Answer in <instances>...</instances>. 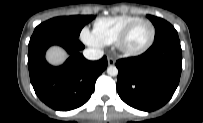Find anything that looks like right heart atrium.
Listing matches in <instances>:
<instances>
[{"instance_id": "obj_1", "label": "right heart atrium", "mask_w": 203, "mask_h": 123, "mask_svg": "<svg viewBox=\"0 0 203 123\" xmlns=\"http://www.w3.org/2000/svg\"><path fill=\"white\" fill-rule=\"evenodd\" d=\"M81 39L84 43L94 46V47H100L102 44L97 40L93 32H91L89 29L84 28L81 31Z\"/></svg>"}]
</instances>
